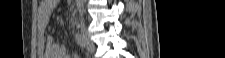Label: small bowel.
Here are the masks:
<instances>
[{"label": "small bowel", "instance_id": "obj_1", "mask_svg": "<svg viewBox=\"0 0 225 58\" xmlns=\"http://www.w3.org/2000/svg\"><path fill=\"white\" fill-rule=\"evenodd\" d=\"M59 0L40 1L37 10L38 51L42 58H77L76 54H68L66 47L55 41L53 36L45 38V31L50 23L52 13L58 7Z\"/></svg>", "mask_w": 225, "mask_h": 58}]
</instances>
